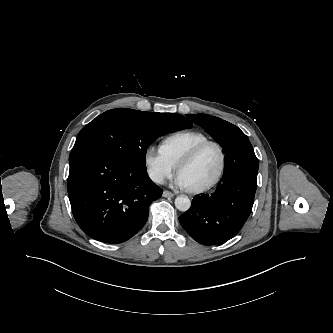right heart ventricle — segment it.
Segmentation results:
<instances>
[{"label":"right heart ventricle","mask_w":333,"mask_h":333,"mask_svg":"<svg viewBox=\"0 0 333 333\" xmlns=\"http://www.w3.org/2000/svg\"><path fill=\"white\" fill-rule=\"evenodd\" d=\"M206 141H209V138L202 132L185 130L164 138L160 144V150L177 167L193 148Z\"/></svg>","instance_id":"right-heart-ventricle-1"}]
</instances>
